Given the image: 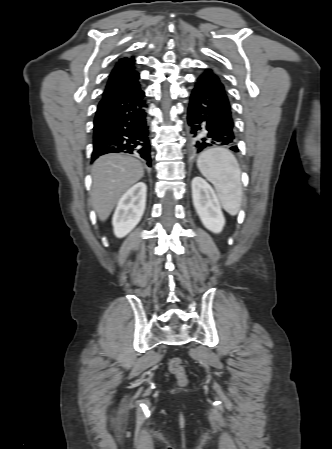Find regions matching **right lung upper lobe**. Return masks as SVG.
Returning a JSON list of instances; mask_svg holds the SVG:
<instances>
[{
    "label": "right lung upper lobe",
    "mask_w": 332,
    "mask_h": 449,
    "mask_svg": "<svg viewBox=\"0 0 332 449\" xmlns=\"http://www.w3.org/2000/svg\"><path fill=\"white\" fill-rule=\"evenodd\" d=\"M139 89V73L135 70L134 59L125 57L112 70L103 97L123 96Z\"/></svg>",
    "instance_id": "1"
}]
</instances>
